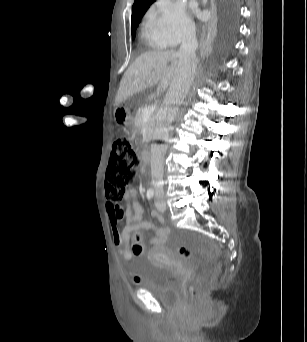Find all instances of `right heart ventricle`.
<instances>
[{"instance_id":"e07e8e85","label":"right heart ventricle","mask_w":307,"mask_h":342,"mask_svg":"<svg viewBox=\"0 0 307 342\" xmlns=\"http://www.w3.org/2000/svg\"><path fill=\"white\" fill-rule=\"evenodd\" d=\"M140 43L142 44V49L145 53H152L162 49V45L155 42L153 39L149 38L145 34H140Z\"/></svg>"}]
</instances>
